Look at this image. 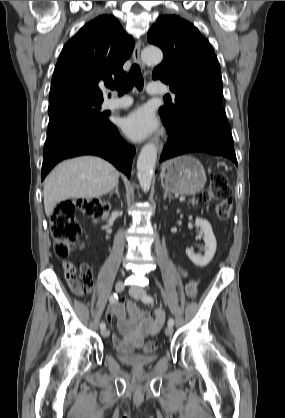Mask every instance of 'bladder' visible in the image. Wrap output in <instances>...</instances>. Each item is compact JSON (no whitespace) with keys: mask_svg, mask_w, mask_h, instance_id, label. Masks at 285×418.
<instances>
[{"mask_svg":"<svg viewBox=\"0 0 285 418\" xmlns=\"http://www.w3.org/2000/svg\"><path fill=\"white\" fill-rule=\"evenodd\" d=\"M116 353L119 362L134 368L151 366L156 361V355L154 352L140 353L117 350Z\"/></svg>","mask_w":285,"mask_h":418,"instance_id":"31cf9c89","label":"bladder"}]
</instances>
